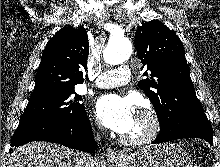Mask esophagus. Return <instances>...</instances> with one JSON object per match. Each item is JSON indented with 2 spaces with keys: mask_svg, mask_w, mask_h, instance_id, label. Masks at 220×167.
<instances>
[{
  "mask_svg": "<svg viewBox=\"0 0 220 167\" xmlns=\"http://www.w3.org/2000/svg\"><path fill=\"white\" fill-rule=\"evenodd\" d=\"M105 156L108 160H111V161H116L121 158V155L117 151L112 149L111 147H108L105 150Z\"/></svg>",
  "mask_w": 220,
  "mask_h": 167,
  "instance_id": "1",
  "label": "esophagus"
}]
</instances>
